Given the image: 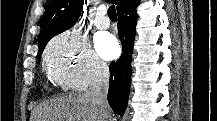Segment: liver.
<instances>
[{
  "mask_svg": "<svg viewBox=\"0 0 217 121\" xmlns=\"http://www.w3.org/2000/svg\"><path fill=\"white\" fill-rule=\"evenodd\" d=\"M34 121H102V118L92 98L69 94L37 107Z\"/></svg>",
  "mask_w": 217,
  "mask_h": 121,
  "instance_id": "obj_1",
  "label": "liver"
}]
</instances>
